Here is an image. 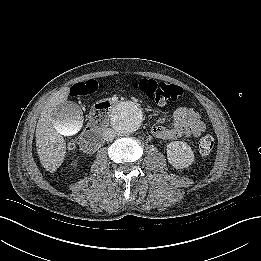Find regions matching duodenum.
<instances>
[{
  "label": "duodenum",
  "mask_w": 261,
  "mask_h": 261,
  "mask_svg": "<svg viewBox=\"0 0 261 261\" xmlns=\"http://www.w3.org/2000/svg\"><path fill=\"white\" fill-rule=\"evenodd\" d=\"M104 127L105 124L101 126V128ZM102 140V135L99 129L94 128L86 130L80 140V148L84 153L92 154L99 148Z\"/></svg>",
  "instance_id": "1"
}]
</instances>
